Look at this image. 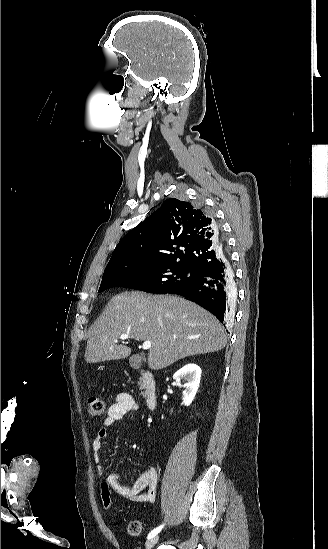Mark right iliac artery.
Listing matches in <instances>:
<instances>
[{
	"label": "right iliac artery",
	"mask_w": 328,
	"mask_h": 549,
	"mask_svg": "<svg viewBox=\"0 0 328 549\" xmlns=\"http://www.w3.org/2000/svg\"><path fill=\"white\" fill-rule=\"evenodd\" d=\"M163 526H164V525H161V526L155 528L154 530H152V531L148 534V537H147V538L150 539V538L154 537L155 535H157V534L161 531V529L163 528Z\"/></svg>",
	"instance_id": "right-iliac-artery-1"
}]
</instances>
